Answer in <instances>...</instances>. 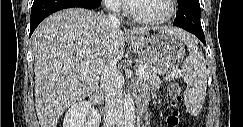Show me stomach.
I'll use <instances>...</instances> for the list:
<instances>
[{"label": "stomach", "mask_w": 243, "mask_h": 127, "mask_svg": "<svg viewBox=\"0 0 243 127\" xmlns=\"http://www.w3.org/2000/svg\"><path fill=\"white\" fill-rule=\"evenodd\" d=\"M134 50L158 74L175 71L185 57V49L177 35L162 28H151L144 34L131 35Z\"/></svg>", "instance_id": "stomach-1"}]
</instances>
